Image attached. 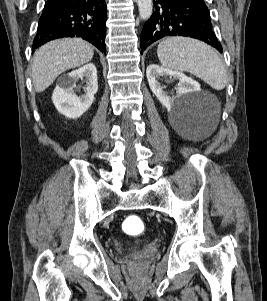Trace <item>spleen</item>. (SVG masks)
<instances>
[{
    "label": "spleen",
    "instance_id": "3e777b00",
    "mask_svg": "<svg viewBox=\"0 0 267 301\" xmlns=\"http://www.w3.org/2000/svg\"><path fill=\"white\" fill-rule=\"evenodd\" d=\"M157 55L165 68L189 72L215 90H222L227 84V73L219 55L202 41L169 37L159 43Z\"/></svg>",
    "mask_w": 267,
    "mask_h": 301
}]
</instances>
